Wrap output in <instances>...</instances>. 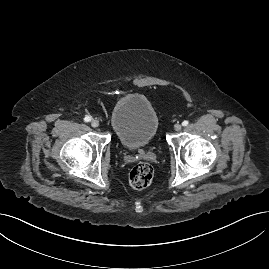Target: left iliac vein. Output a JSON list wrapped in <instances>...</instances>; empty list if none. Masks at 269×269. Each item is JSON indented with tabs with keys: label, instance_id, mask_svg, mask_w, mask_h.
I'll return each instance as SVG.
<instances>
[{
	"label": "left iliac vein",
	"instance_id": "4c4485c4",
	"mask_svg": "<svg viewBox=\"0 0 269 269\" xmlns=\"http://www.w3.org/2000/svg\"><path fill=\"white\" fill-rule=\"evenodd\" d=\"M174 129H175V131H180L182 129V125L181 124H175Z\"/></svg>",
	"mask_w": 269,
	"mask_h": 269
}]
</instances>
